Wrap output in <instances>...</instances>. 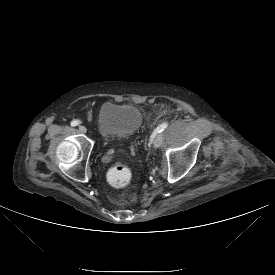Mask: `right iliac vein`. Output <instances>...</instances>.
I'll list each match as a JSON object with an SVG mask.
<instances>
[{"label": "right iliac vein", "instance_id": "63e3f726", "mask_svg": "<svg viewBox=\"0 0 275 275\" xmlns=\"http://www.w3.org/2000/svg\"><path fill=\"white\" fill-rule=\"evenodd\" d=\"M79 130H80L82 133H86V132H87L86 127L83 126V125L79 126Z\"/></svg>", "mask_w": 275, "mask_h": 275}]
</instances>
